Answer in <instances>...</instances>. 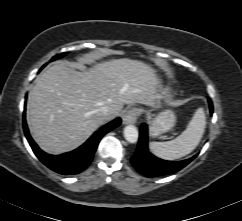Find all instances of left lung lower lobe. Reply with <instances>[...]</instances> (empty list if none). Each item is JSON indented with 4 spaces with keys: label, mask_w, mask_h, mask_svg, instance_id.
I'll list each match as a JSON object with an SVG mask.
<instances>
[{
    "label": "left lung lower lobe",
    "mask_w": 242,
    "mask_h": 221,
    "mask_svg": "<svg viewBox=\"0 0 242 221\" xmlns=\"http://www.w3.org/2000/svg\"><path fill=\"white\" fill-rule=\"evenodd\" d=\"M210 113H213V104L209 99ZM197 155L177 162L165 161L153 156L148 150V127L142 124L137 149L131 158V163L135 169L147 176L156 177L175 173L189 164Z\"/></svg>",
    "instance_id": "obj_1"
}]
</instances>
